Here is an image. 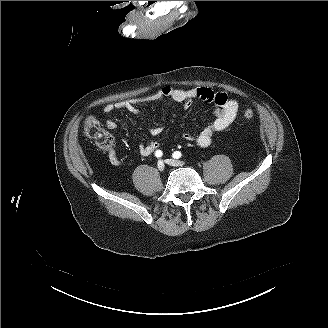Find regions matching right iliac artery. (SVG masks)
<instances>
[{"instance_id": "right-iliac-artery-1", "label": "right iliac artery", "mask_w": 328, "mask_h": 328, "mask_svg": "<svg viewBox=\"0 0 328 328\" xmlns=\"http://www.w3.org/2000/svg\"><path fill=\"white\" fill-rule=\"evenodd\" d=\"M155 155H156V157H161L162 156V152L160 150H157L155 152Z\"/></svg>"}]
</instances>
